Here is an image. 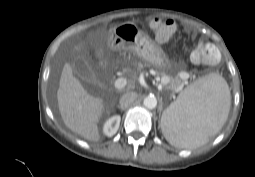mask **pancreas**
I'll return each instance as SVG.
<instances>
[{
    "label": "pancreas",
    "instance_id": "1",
    "mask_svg": "<svg viewBox=\"0 0 255 177\" xmlns=\"http://www.w3.org/2000/svg\"><path fill=\"white\" fill-rule=\"evenodd\" d=\"M143 68V64L141 63H138V67L137 69H141ZM160 75L162 76V79L161 81H165V83L163 85L166 86L167 89L171 90L172 92H175L178 88V86L180 85L181 81L179 78H173V77H170V76H167L166 74L164 73H160Z\"/></svg>",
    "mask_w": 255,
    "mask_h": 177
}]
</instances>
